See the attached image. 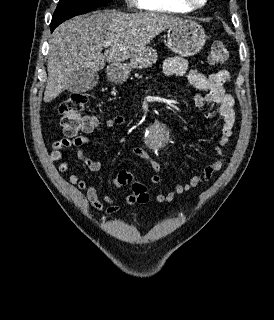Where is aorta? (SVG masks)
I'll list each match as a JSON object with an SVG mask.
<instances>
[{
    "label": "aorta",
    "instance_id": "1",
    "mask_svg": "<svg viewBox=\"0 0 274 320\" xmlns=\"http://www.w3.org/2000/svg\"><path fill=\"white\" fill-rule=\"evenodd\" d=\"M168 140V132L162 125L157 124L147 132L148 144L155 151L165 147Z\"/></svg>",
    "mask_w": 274,
    "mask_h": 320
}]
</instances>
